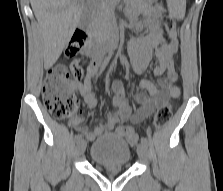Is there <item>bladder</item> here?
I'll list each match as a JSON object with an SVG mask.
<instances>
[{"label":"bladder","mask_w":223,"mask_h":191,"mask_svg":"<svg viewBox=\"0 0 223 191\" xmlns=\"http://www.w3.org/2000/svg\"><path fill=\"white\" fill-rule=\"evenodd\" d=\"M91 160L100 166H128L132 152L127 141L117 135L108 134L95 140L90 147Z\"/></svg>","instance_id":"obj_1"}]
</instances>
